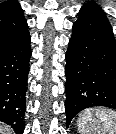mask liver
I'll use <instances>...</instances> for the list:
<instances>
[{
  "mask_svg": "<svg viewBox=\"0 0 116 134\" xmlns=\"http://www.w3.org/2000/svg\"><path fill=\"white\" fill-rule=\"evenodd\" d=\"M0 134H10V130L5 128L4 125H0Z\"/></svg>",
  "mask_w": 116,
  "mask_h": 134,
  "instance_id": "1",
  "label": "liver"
}]
</instances>
